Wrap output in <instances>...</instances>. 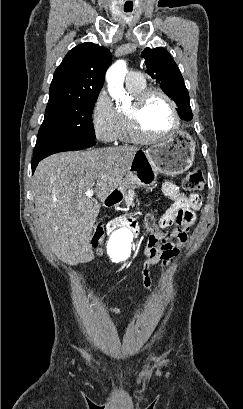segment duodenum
I'll use <instances>...</instances> for the list:
<instances>
[{"instance_id": "410a0bca", "label": "duodenum", "mask_w": 243, "mask_h": 409, "mask_svg": "<svg viewBox=\"0 0 243 409\" xmlns=\"http://www.w3.org/2000/svg\"><path fill=\"white\" fill-rule=\"evenodd\" d=\"M121 200V194L118 190H114L113 192H111L105 199L104 201V205L106 207H112L116 204H118ZM117 227H126L132 231L136 230V223L135 221L131 220V219H121L115 222H112L111 224H109L108 229L109 230H113Z\"/></svg>"}]
</instances>
